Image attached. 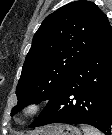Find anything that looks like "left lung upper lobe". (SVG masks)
Returning <instances> with one entry per match:
<instances>
[{
    "label": "left lung upper lobe",
    "mask_w": 112,
    "mask_h": 135,
    "mask_svg": "<svg viewBox=\"0 0 112 135\" xmlns=\"http://www.w3.org/2000/svg\"><path fill=\"white\" fill-rule=\"evenodd\" d=\"M110 27L107 16L90 1L71 2L47 16L26 56L11 115L55 95Z\"/></svg>",
    "instance_id": "obj_1"
}]
</instances>
